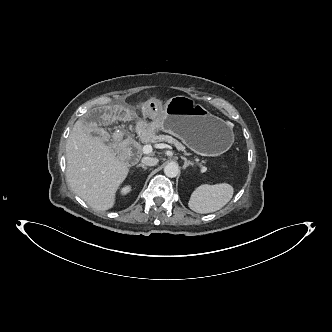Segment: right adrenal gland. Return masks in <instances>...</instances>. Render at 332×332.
Returning <instances> with one entry per match:
<instances>
[{"instance_id": "obj_1", "label": "right adrenal gland", "mask_w": 332, "mask_h": 332, "mask_svg": "<svg viewBox=\"0 0 332 332\" xmlns=\"http://www.w3.org/2000/svg\"><path fill=\"white\" fill-rule=\"evenodd\" d=\"M137 167H142L144 170H147V169H148V167H146V166L143 165V164H138Z\"/></svg>"}]
</instances>
